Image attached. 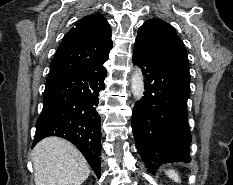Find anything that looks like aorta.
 I'll use <instances>...</instances> for the list:
<instances>
[{
    "label": "aorta",
    "mask_w": 233,
    "mask_h": 185,
    "mask_svg": "<svg viewBox=\"0 0 233 185\" xmlns=\"http://www.w3.org/2000/svg\"><path fill=\"white\" fill-rule=\"evenodd\" d=\"M131 91L136 101L144 95V79L141 69L136 68L131 77Z\"/></svg>",
    "instance_id": "aorta-1"
}]
</instances>
